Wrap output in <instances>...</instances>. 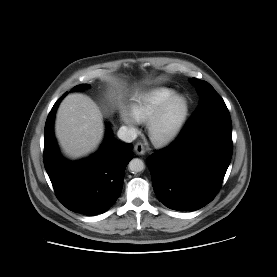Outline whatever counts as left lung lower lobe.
<instances>
[{"label":"left lung lower lobe","instance_id":"obj_1","mask_svg":"<svg viewBox=\"0 0 277 277\" xmlns=\"http://www.w3.org/2000/svg\"><path fill=\"white\" fill-rule=\"evenodd\" d=\"M227 107L190 118L179 138L147 159L155 194L166 207L198 210L216 196L232 157Z\"/></svg>","mask_w":277,"mask_h":277}]
</instances>
